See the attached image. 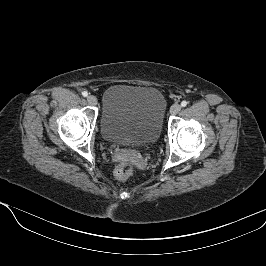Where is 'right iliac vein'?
Here are the masks:
<instances>
[{
  "label": "right iliac vein",
  "mask_w": 266,
  "mask_h": 266,
  "mask_svg": "<svg viewBox=\"0 0 266 266\" xmlns=\"http://www.w3.org/2000/svg\"><path fill=\"white\" fill-rule=\"evenodd\" d=\"M87 102H88L90 105L94 106V105L97 104V98H96L95 96H93V95H89V96L87 97Z\"/></svg>",
  "instance_id": "63e3f726"
}]
</instances>
